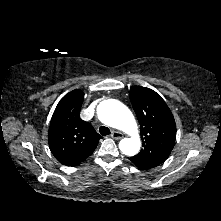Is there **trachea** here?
Returning <instances> with one entry per match:
<instances>
[{"label":"trachea","instance_id":"obj_1","mask_svg":"<svg viewBox=\"0 0 221 221\" xmlns=\"http://www.w3.org/2000/svg\"><path fill=\"white\" fill-rule=\"evenodd\" d=\"M99 132H100V134L103 135V136H106V135H109V134H110L109 128H107V127H105V126H101V127L99 128Z\"/></svg>","mask_w":221,"mask_h":221}]
</instances>
